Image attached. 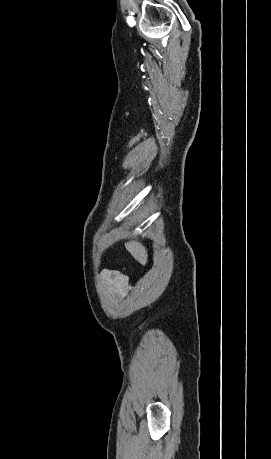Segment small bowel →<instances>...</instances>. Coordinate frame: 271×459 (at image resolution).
Listing matches in <instances>:
<instances>
[{"instance_id": "1", "label": "small bowel", "mask_w": 271, "mask_h": 459, "mask_svg": "<svg viewBox=\"0 0 271 459\" xmlns=\"http://www.w3.org/2000/svg\"><path fill=\"white\" fill-rule=\"evenodd\" d=\"M101 284L113 302L120 301L130 289L128 276L115 270H104Z\"/></svg>"}]
</instances>
